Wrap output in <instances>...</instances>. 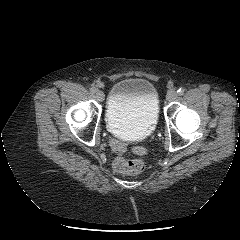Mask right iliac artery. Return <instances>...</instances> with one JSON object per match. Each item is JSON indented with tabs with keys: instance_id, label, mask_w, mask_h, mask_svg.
Segmentation results:
<instances>
[{
	"instance_id": "obj_1",
	"label": "right iliac artery",
	"mask_w": 240,
	"mask_h": 240,
	"mask_svg": "<svg viewBox=\"0 0 240 240\" xmlns=\"http://www.w3.org/2000/svg\"><path fill=\"white\" fill-rule=\"evenodd\" d=\"M90 91H91L92 93H95V92L97 91V89L93 86V87L90 88Z\"/></svg>"
}]
</instances>
